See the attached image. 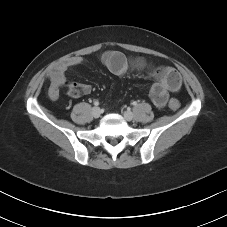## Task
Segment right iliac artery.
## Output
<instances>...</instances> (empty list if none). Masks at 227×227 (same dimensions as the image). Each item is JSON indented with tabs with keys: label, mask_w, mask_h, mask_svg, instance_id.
<instances>
[{
	"label": "right iliac artery",
	"mask_w": 227,
	"mask_h": 227,
	"mask_svg": "<svg viewBox=\"0 0 227 227\" xmlns=\"http://www.w3.org/2000/svg\"><path fill=\"white\" fill-rule=\"evenodd\" d=\"M94 105H95V106H98V105H99V102H98V101H95V102H94Z\"/></svg>",
	"instance_id": "82829eb1"
}]
</instances>
